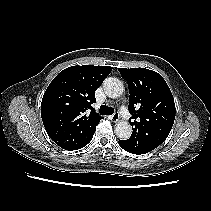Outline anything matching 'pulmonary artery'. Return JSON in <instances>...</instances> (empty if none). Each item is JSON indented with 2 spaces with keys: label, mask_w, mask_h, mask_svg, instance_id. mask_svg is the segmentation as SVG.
<instances>
[{
  "label": "pulmonary artery",
  "mask_w": 211,
  "mask_h": 211,
  "mask_svg": "<svg viewBox=\"0 0 211 211\" xmlns=\"http://www.w3.org/2000/svg\"><path fill=\"white\" fill-rule=\"evenodd\" d=\"M120 113L123 115L125 119H130L131 117L130 113L127 111L125 107H121Z\"/></svg>",
  "instance_id": "e3ab8cb5"
}]
</instances>
